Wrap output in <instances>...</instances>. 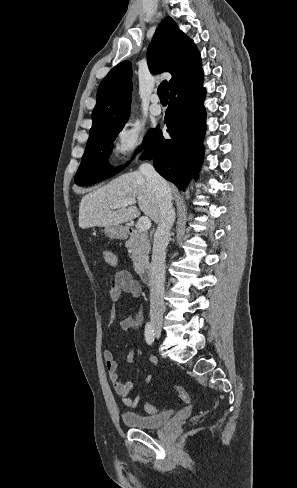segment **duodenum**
I'll return each mask as SVG.
<instances>
[{
  "mask_svg": "<svg viewBox=\"0 0 297 488\" xmlns=\"http://www.w3.org/2000/svg\"><path fill=\"white\" fill-rule=\"evenodd\" d=\"M139 275L145 284L151 285L155 278L153 266L151 264L144 265L140 269Z\"/></svg>",
  "mask_w": 297,
  "mask_h": 488,
  "instance_id": "410a0bca",
  "label": "duodenum"
}]
</instances>
